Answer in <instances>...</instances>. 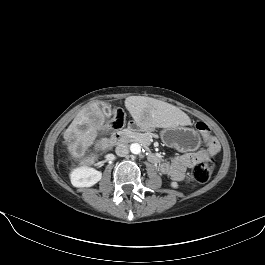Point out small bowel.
<instances>
[{"instance_id": "1", "label": "small bowel", "mask_w": 265, "mask_h": 265, "mask_svg": "<svg viewBox=\"0 0 265 265\" xmlns=\"http://www.w3.org/2000/svg\"><path fill=\"white\" fill-rule=\"evenodd\" d=\"M206 144V149L183 153L170 162L162 163L160 172L174 181H182L187 169L219 153L220 145L214 137L210 136L209 140H206Z\"/></svg>"}]
</instances>
